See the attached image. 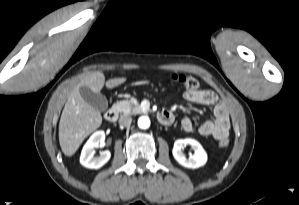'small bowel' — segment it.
<instances>
[{"label": "small bowel", "mask_w": 299, "mask_h": 205, "mask_svg": "<svg viewBox=\"0 0 299 205\" xmlns=\"http://www.w3.org/2000/svg\"><path fill=\"white\" fill-rule=\"evenodd\" d=\"M183 97L191 103L213 107V120L205 121L198 129L201 136H210L216 140L228 137L230 130L229 115L225 105L219 101L218 96L213 91L186 90ZM181 127L185 132L190 133L194 129V124L190 118L185 117L181 121Z\"/></svg>", "instance_id": "obj_1"}]
</instances>
